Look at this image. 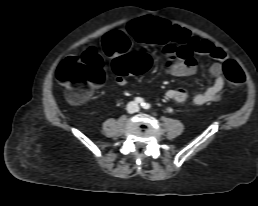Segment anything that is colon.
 I'll return each instance as SVG.
<instances>
[{
  "label": "colon",
  "mask_w": 258,
  "mask_h": 206,
  "mask_svg": "<svg viewBox=\"0 0 258 206\" xmlns=\"http://www.w3.org/2000/svg\"><path fill=\"white\" fill-rule=\"evenodd\" d=\"M135 34V32H132ZM151 65V59L144 53H132L115 60L118 74L140 75ZM224 76L232 89H239L245 83V75L233 60L223 64ZM56 78L66 88L67 99L73 104L85 102L94 89L104 83L103 61L95 49L85 51L81 56L66 58L56 70Z\"/></svg>",
  "instance_id": "colon-1"
}]
</instances>
